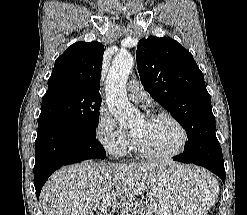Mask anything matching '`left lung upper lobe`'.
Instances as JSON below:
<instances>
[{
    "instance_id": "5c2ea615",
    "label": "left lung upper lobe",
    "mask_w": 247,
    "mask_h": 215,
    "mask_svg": "<svg viewBox=\"0 0 247 215\" xmlns=\"http://www.w3.org/2000/svg\"><path fill=\"white\" fill-rule=\"evenodd\" d=\"M136 59L145 89L185 128L184 153H193L196 141L217 139L203 73L189 51L172 38L149 37L139 41Z\"/></svg>"
}]
</instances>
